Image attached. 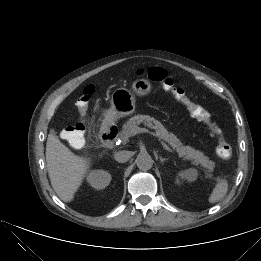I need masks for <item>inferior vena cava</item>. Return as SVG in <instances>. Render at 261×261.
Here are the masks:
<instances>
[{"label": "inferior vena cava", "mask_w": 261, "mask_h": 261, "mask_svg": "<svg viewBox=\"0 0 261 261\" xmlns=\"http://www.w3.org/2000/svg\"><path fill=\"white\" fill-rule=\"evenodd\" d=\"M132 156V153L130 151H118L114 154V158L119 163H125L127 162Z\"/></svg>", "instance_id": "obj_1"}]
</instances>
